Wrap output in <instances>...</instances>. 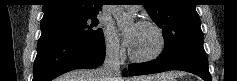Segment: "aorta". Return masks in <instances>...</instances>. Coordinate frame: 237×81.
Listing matches in <instances>:
<instances>
[{
    "instance_id": "aorta-1",
    "label": "aorta",
    "mask_w": 237,
    "mask_h": 81,
    "mask_svg": "<svg viewBox=\"0 0 237 81\" xmlns=\"http://www.w3.org/2000/svg\"><path fill=\"white\" fill-rule=\"evenodd\" d=\"M112 15L115 18L119 29H125L133 23V18L118 5H114Z\"/></svg>"
}]
</instances>
